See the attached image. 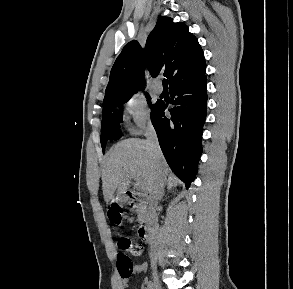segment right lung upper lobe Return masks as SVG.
Returning a JSON list of instances; mask_svg holds the SVG:
<instances>
[{"label":"right lung upper lobe","mask_w":293,"mask_h":289,"mask_svg":"<svg viewBox=\"0 0 293 289\" xmlns=\"http://www.w3.org/2000/svg\"><path fill=\"white\" fill-rule=\"evenodd\" d=\"M145 66L152 77L160 72L169 79V89L198 80L205 75L203 50L184 23L159 16L145 49L133 40L117 57L106 88L103 104L115 97L136 93L143 84Z\"/></svg>","instance_id":"obj_1"}]
</instances>
